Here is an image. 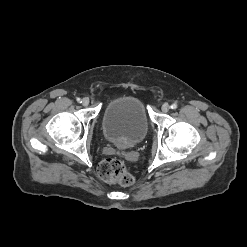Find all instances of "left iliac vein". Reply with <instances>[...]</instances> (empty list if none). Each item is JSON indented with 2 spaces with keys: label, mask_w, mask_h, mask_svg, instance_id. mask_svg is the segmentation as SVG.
<instances>
[{
  "label": "left iliac vein",
  "mask_w": 247,
  "mask_h": 247,
  "mask_svg": "<svg viewBox=\"0 0 247 247\" xmlns=\"http://www.w3.org/2000/svg\"><path fill=\"white\" fill-rule=\"evenodd\" d=\"M169 109H170V106H169L168 103H164V104L162 105V107H161V110H162V112H164V113L168 112Z\"/></svg>",
  "instance_id": "obj_1"
}]
</instances>
